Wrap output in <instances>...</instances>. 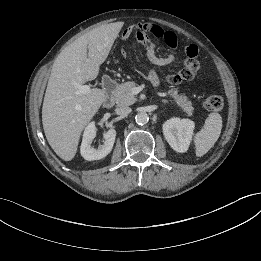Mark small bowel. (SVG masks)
<instances>
[{
	"label": "small bowel",
	"instance_id": "1",
	"mask_svg": "<svg viewBox=\"0 0 261 261\" xmlns=\"http://www.w3.org/2000/svg\"><path fill=\"white\" fill-rule=\"evenodd\" d=\"M134 28L135 31L130 35V37L134 35L136 40L144 47L146 56L150 63L156 66H168L176 62V56L173 51L177 48V38L173 32L164 30L163 28L151 23L139 24ZM153 39L164 41L172 52H169L165 56H159ZM184 53L186 59L183 68L178 72L169 74L167 77L168 81L171 83L178 84L183 80H192L199 72L200 67L198 63L197 47L189 45L185 47ZM148 79L155 86L160 84L159 76L155 71H151L148 74Z\"/></svg>",
	"mask_w": 261,
	"mask_h": 261
}]
</instances>
